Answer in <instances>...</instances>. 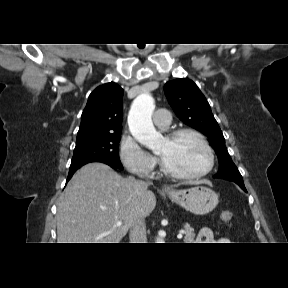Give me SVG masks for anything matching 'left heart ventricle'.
Wrapping results in <instances>:
<instances>
[{
  "label": "left heart ventricle",
  "mask_w": 288,
  "mask_h": 288,
  "mask_svg": "<svg viewBox=\"0 0 288 288\" xmlns=\"http://www.w3.org/2000/svg\"><path fill=\"white\" fill-rule=\"evenodd\" d=\"M157 154L170 168L186 174L203 171L209 162L207 151L192 135H184L174 141L165 138Z\"/></svg>",
  "instance_id": "left-heart-ventricle-1"
}]
</instances>
